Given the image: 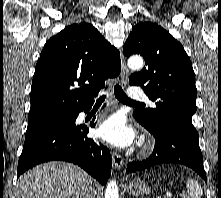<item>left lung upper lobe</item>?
<instances>
[{
  "instance_id": "left-lung-upper-lobe-1",
  "label": "left lung upper lobe",
  "mask_w": 221,
  "mask_h": 198,
  "mask_svg": "<svg viewBox=\"0 0 221 198\" xmlns=\"http://www.w3.org/2000/svg\"><path fill=\"white\" fill-rule=\"evenodd\" d=\"M123 52L145 59V67L129 77V84L140 85L156 103V108L135 111V118L150 128L198 133L192 124L197 110L195 74L183 46L156 23L140 22L133 27Z\"/></svg>"
}]
</instances>
